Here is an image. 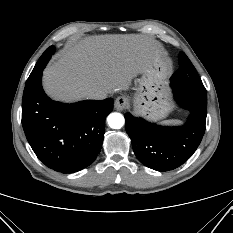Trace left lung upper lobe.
Wrapping results in <instances>:
<instances>
[{"label":"left lung upper lobe","mask_w":233,"mask_h":233,"mask_svg":"<svg viewBox=\"0 0 233 233\" xmlns=\"http://www.w3.org/2000/svg\"><path fill=\"white\" fill-rule=\"evenodd\" d=\"M171 80L187 87L205 89L188 57L185 59L184 64L180 65L179 69L172 75Z\"/></svg>","instance_id":"obj_1"}]
</instances>
